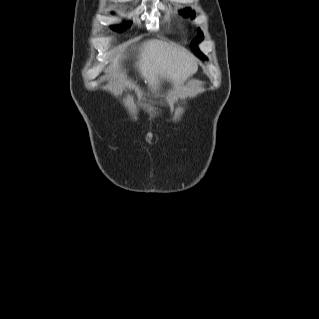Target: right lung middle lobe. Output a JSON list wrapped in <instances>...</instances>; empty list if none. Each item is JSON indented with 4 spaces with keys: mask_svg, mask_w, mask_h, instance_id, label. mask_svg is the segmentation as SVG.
I'll list each match as a JSON object with an SVG mask.
<instances>
[{
    "mask_svg": "<svg viewBox=\"0 0 319 319\" xmlns=\"http://www.w3.org/2000/svg\"><path fill=\"white\" fill-rule=\"evenodd\" d=\"M113 29H115L119 32H122L124 30V27L123 26H113Z\"/></svg>",
    "mask_w": 319,
    "mask_h": 319,
    "instance_id": "1",
    "label": "right lung middle lobe"
}]
</instances>
